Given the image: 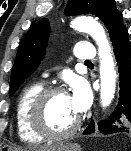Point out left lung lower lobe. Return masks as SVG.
<instances>
[{
    "label": "left lung lower lobe",
    "instance_id": "obj_1",
    "mask_svg": "<svg viewBox=\"0 0 131 151\" xmlns=\"http://www.w3.org/2000/svg\"><path fill=\"white\" fill-rule=\"evenodd\" d=\"M115 57L119 67V101L112 114L98 123V130L102 134L123 133L131 134V42L128 33L118 37L113 42ZM95 125L91 121L83 134L94 131Z\"/></svg>",
    "mask_w": 131,
    "mask_h": 151
}]
</instances>
